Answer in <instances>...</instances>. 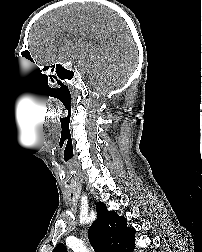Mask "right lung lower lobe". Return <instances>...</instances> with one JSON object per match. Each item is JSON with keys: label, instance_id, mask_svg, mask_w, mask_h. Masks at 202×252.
Here are the masks:
<instances>
[{"label": "right lung lower lobe", "instance_id": "obj_1", "mask_svg": "<svg viewBox=\"0 0 202 252\" xmlns=\"http://www.w3.org/2000/svg\"><path fill=\"white\" fill-rule=\"evenodd\" d=\"M134 248H135V244L131 247V249L128 252H132Z\"/></svg>", "mask_w": 202, "mask_h": 252}]
</instances>
